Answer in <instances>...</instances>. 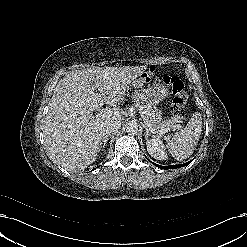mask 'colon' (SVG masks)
I'll return each mask as SVG.
<instances>
[{
	"label": "colon",
	"instance_id": "colon-1",
	"mask_svg": "<svg viewBox=\"0 0 247 247\" xmlns=\"http://www.w3.org/2000/svg\"><path fill=\"white\" fill-rule=\"evenodd\" d=\"M163 83L169 87L173 94L171 112L175 115L180 114L187 102V92L184 82L176 76H166Z\"/></svg>",
	"mask_w": 247,
	"mask_h": 247
}]
</instances>
